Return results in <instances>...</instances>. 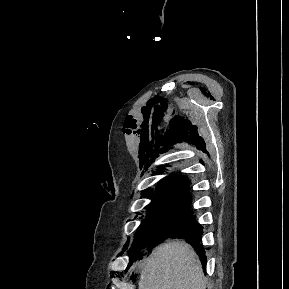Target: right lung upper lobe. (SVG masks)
<instances>
[{
	"mask_svg": "<svg viewBox=\"0 0 289 289\" xmlns=\"http://www.w3.org/2000/svg\"><path fill=\"white\" fill-rule=\"evenodd\" d=\"M189 181L186 177L171 176L160 183L156 188L148 190L145 193L146 197H174V196H189L188 194Z\"/></svg>",
	"mask_w": 289,
	"mask_h": 289,
	"instance_id": "right-lung-upper-lobe-1",
	"label": "right lung upper lobe"
}]
</instances>
